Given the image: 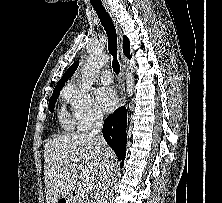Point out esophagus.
Masks as SVG:
<instances>
[{
  "label": "esophagus",
  "instance_id": "34e87169",
  "mask_svg": "<svg viewBox=\"0 0 222 203\" xmlns=\"http://www.w3.org/2000/svg\"><path fill=\"white\" fill-rule=\"evenodd\" d=\"M106 11L110 15L117 34V43H118V53L120 56V74H119V82H120V105H123L125 102V83H124V75H125V56L123 54V35L122 31L120 29L119 23L117 21V18L115 16V13L112 11L111 7L108 4L104 5Z\"/></svg>",
  "mask_w": 222,
  "mask_h": 203
}]
</instances>
